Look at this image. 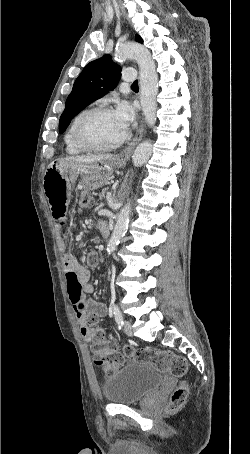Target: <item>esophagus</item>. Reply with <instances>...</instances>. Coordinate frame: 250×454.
I'll list each match as a JSON object with an SVG mask.
<instances>
[{
	"instance_id": "esophagus-1",
	"label": "esophagus",
	"mask_w": 250,
	"mask_h": 454,
	"mask_svg": "<svg viewBox=\"0 0 250 454\" xmlns=\"http://www.w3.org/2000/svg\"><path fill=\"white\" fill-rule=\"evenodd\" d=\"M144 130H145V127H144V124L143 122H141L140 124V127L136 133V136L135 138L133 139V141L128 144L118 155H117V159H120V160H128L135 148V146L141 141L142 137H143V134H144Z\"/></svg>"
}]
</instances>
